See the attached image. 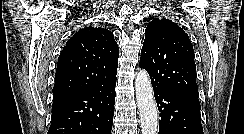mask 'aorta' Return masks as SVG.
Instances as JSON below:
<instances>
[{"mask_svg": "<svg viewBox=\"0 0 244 134\" xmlns=\"http://www.w3.org/2000/svg\"><path fill=\"white\" fill-rule=\"evenodd\" d=\"M135 91L142 134H157L159 126L158 109L150 77L144 69H140L136 74Z\"/></svg>", "mask_w": 244, "mask_h": 134, "instance_id": "1", "label": "aorta"}]
</instances>
